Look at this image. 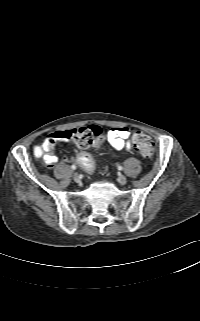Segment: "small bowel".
I'll return each mask as SVG.
<instances>
[{
  "label": "small bowel",
  "mask_w": 200,
  "mask_h": 321,
  "mask_svg": "<svg viewBox=\"0 0 200 321\" xmlns=\"http://www.w3.org/2000/svg\"><path fill=\"white\" fill-rule=\"evenodd\" d=\"M70 130L56 131L47 136L41 147H38L36 153L42 157L48 166H53L58 162L57 156L54 155L53 150L55 144L61 141H68L66 134ZM133 129L128 127H114L107 133V141L111 147V154L116 155V152L125 150L126 152L132 151L131 134ZM65 158L64 161H68Z\"/></svg>",
  "instance_id": "c3829d8e"
}]
</instances>
